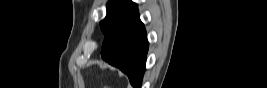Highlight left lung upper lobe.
<instances>
[{
    "mask_svg": "<svg viewBox=\"0 0 267 88\" xmlns=\"http://www.w3.org/2000/svg\"><path fill=\"white\" fill-rule=\"evenodd\" d=\"M136 7L137 5L130 0H110L107 4V15L100 22L103 33L106 35L127 13Z\"/></svg>",
    "mask_w": 267,
    "mask_h": 88,
    "instance_id": "5c2ea615",
    "label": "left lung upper lobe"
}]
</instances>
